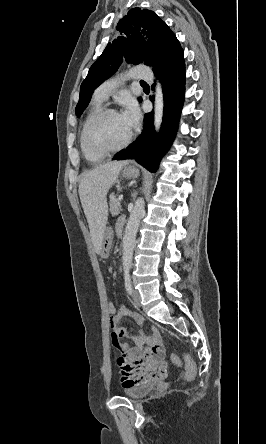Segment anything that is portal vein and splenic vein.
Masks as SVG:
<instances>
[{
	"label": "portal vein and splenic vein",
	"mask_w": 266,
	"mask_h": 444,
	"mask_svg": "<svg viewBox=\"0 0 266 444\" xmlns=\"http://www.w3.org/2000/svg\"><path fill=\"white\" fill-rule=\"evenodd\" d=\"M119 200H120V201L123 200V195H120V196H119Z\"/></svg>",
	"instance_id": "obj_1"
}]
</instances>
